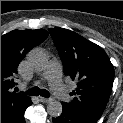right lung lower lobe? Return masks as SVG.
<instances>
[{
	"instance_id": "1",
	"label": "right lung lower lobe",
	"mask_w": 123,
	"mask_h": 123,
	"mask_svg": "<svg viewBox=\"0 0 123 123\" xmlns=\"http://www.w3.org/2000/svg\"><path fill=\"white\" fill-rule=\"evenodd\" d=\"M32 104L31 100L29 101V104L21 111L12 113V114H6L1 116V123H26L24 119V112L28 106Z\"/></svg>"
}]
</instances>
